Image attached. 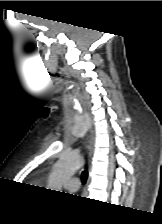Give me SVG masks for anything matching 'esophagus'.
<instances>
[{
    "label": "esophagus",
    "instance_id": "1",
    "mask_svg": "<svg viewBox=\"0 0 162 224\" xmlns=\"http://www.w3.org/2000/svg\"><path fill=\"white\" fill-rule=\"evenodd\" d=\"M88 150H89V158H88V162H89V169H91L92 167V159H93V155H94V138L93 135H91L89 143H88ZM89 183V179L87 181V185Z\"/></svg>",
    "mask_w": 162,
    "mask_h": 224
}]
</instances>
